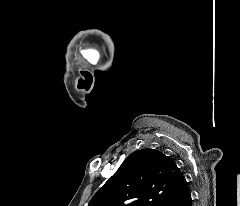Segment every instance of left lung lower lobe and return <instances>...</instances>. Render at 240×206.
<instances>
[{"mask_svg":"<svg viewBox=\"0 0 240 206\" xmlns=\"http://www.w3.org/2000/svg\"><path fill=\"white\" fill-rule=\"evenodd\" d=\"M164 206H192L189 183L181 171L177 185Z\"/></svg>","mask_w":240,"mask_h":206,"instance_id":"obj_1","label":"left lung lower lobe"}]
</instances>
